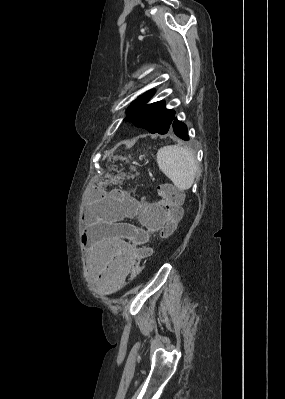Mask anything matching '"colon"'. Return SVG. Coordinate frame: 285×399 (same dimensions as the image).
Listing matches in <instances>:
<instances>
[{"label": "colon", "mask_w": 285, "mask_h": 399, "mask_svg": "<svg viewBox=\"0 0 285 399\" xmlns=\"http://www.w3.org/2000/svg\"><path fill=\"white\" fill-rule=\"evenodd\" d=\"M113 181L111 177H104L102 179L95 180L93 185L95 187L101 186V181ZM131 194L130 191L115 188L112 190V195L118 198H125ZM158 194L162 198L161 206L168 215V222L165 227L161 230V237H168L174 230L177 221L180 217V204H181V191L171 185H160L158 186ZM151 254V247L143 246L136 250V255L132 265V271L134 274H139L142 271V261L145 257Z\"/></svg>", "instance_id": "1"}]
</instances>
